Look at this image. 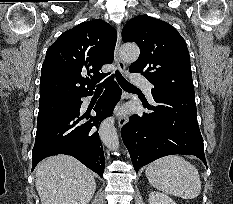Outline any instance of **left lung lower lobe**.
Wrapping results in <instances>:
<instances>
[{
  "instance_id": "obj_1",
  "label": "left lung lower lobe",
  "mask_w": 233,
  "mask_h": 204,
  "mask_svg": "<svg viewBox=\"0 0 233 204\" xmlns=\"http://www.w3.org/2000/svg\"><path fill=\"white\" fill-rule=\"evenodd\" d=\"M152 96L155 105L143 106L153 112L132 115L121 131L135 171L172 154L195 155L207 166L195 97L165 93Z\"/></svg>"
}]
</instances>
